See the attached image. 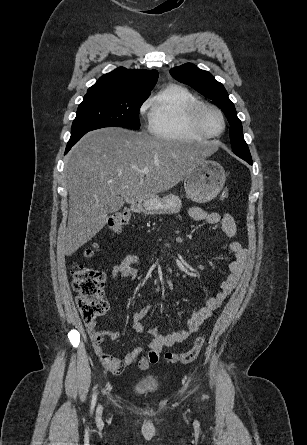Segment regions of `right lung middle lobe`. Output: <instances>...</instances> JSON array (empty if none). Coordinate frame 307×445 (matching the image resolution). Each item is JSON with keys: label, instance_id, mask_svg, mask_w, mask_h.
Wrapping results in <instances>:
<instances>
[{"label": "right lung middle lobe", "instance_id": "right-lung-middle-lobe-1", "mask_svg": "<svg viewBox=\"0 0 307 445\" xmlns=\"http://www.w3.org/2000/svg\"><path fill=\"white\" fill-rule=\"evenodd\" d=\"M146 99L113 95L84 96L72 124L71 136L103 127L139 129V109Z\"/></svg>", "mask_w": 307, "mask_h": 445}]
</instances>
